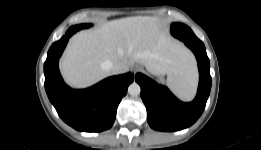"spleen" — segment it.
Segmentation results:
<instances>
[{"mask_svg": "<svg viewBox=\"0 0 261 150\" xmlns=\"http://www.w3.org/2000/svg\"><path fill=\"white\" fill-rule=\"evenodd\" d=\"M167 81L172 91L181 99L191 100L194 97L197 76L193 65L180 76H168Z\"/></svg>", "mask_w": 261, "mask_h": 150, "instance_id": "1", "label": "spleen"}]
</instances>
